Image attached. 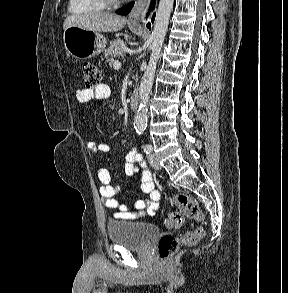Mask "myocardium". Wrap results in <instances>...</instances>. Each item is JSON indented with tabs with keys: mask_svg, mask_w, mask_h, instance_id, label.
<instances>
[{
	"mask_svg": "<svg viewBox=\"0 0 288 293\" xmlns=\"http://www.w3.org/2000/svg\"><path fill=\"white\" fill-rule=\"evenodd\" d=\"M107 5H112L120 2L121 0H103Z\"/></svg>",
	"mask_w": 288,
	"mask_h": 293,
	"instance_id": "obj_1",
	"label": "myocardium"
}]
</instances>
